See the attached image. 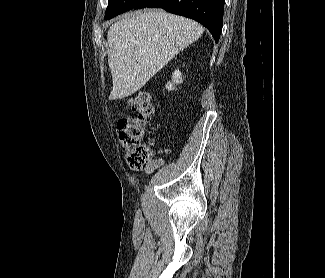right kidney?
<instances>
[{"label": "right kidney", "mask_w": 325, "mask_h": 278, "mask_svg": "<svg viewBox=\"0 0 325 278\" xmlns=\"http://www.w3.org/2000/svg\"><path fill=\"white\" fill-rule=\"evenodd\" d=\"M182 74H181V72L177 69V70H175V72L173 73V76H172V82H168L167 84H166V89L168 90V91H172V90H174L175 89V84L177 85V84H180V83H182Z\"/></svg>", "instance_id": "obj_1"}]
</instances>
